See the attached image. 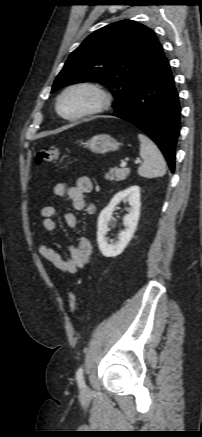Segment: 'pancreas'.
<instances>
[{
  "mask_svg": "<svg viewBox=\"0 0 202 437\" xmlns=\"http://www.w3.org/2000/svg\"><path fill=\"white\" fill-rule=\"evenodd\" d=\"M130 173V169L111 168L108 173H105V179L110 181L125 180Z\"/></svg>",
  "mask_w": 202,
  "mask_h": 437,
  "instance_id": "1",
  "label": "pancreas"
}]
</instances>
